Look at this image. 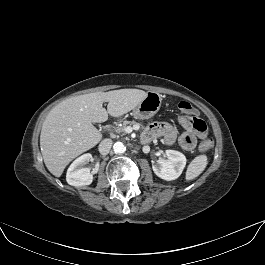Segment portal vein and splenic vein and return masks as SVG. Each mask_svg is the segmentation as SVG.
I'll list each match as a JSON object with an SVG mask.
<instances>
[{"mask_svg": "<svg viewBox=\"0 0 265 265\" xmlns=\"http://www.w3.org/2000/svg\"><path fill=\"white\" fill-rule=\"evenodd\" d=\"M132 130H133L132 127H126V128H125V132H126V133H131Z\"/></svg>", "mask_w": 265, "mask_h": 265, "instance_id": "obj_1", "label": "portal vein and splenic vein"}]
</instances>
